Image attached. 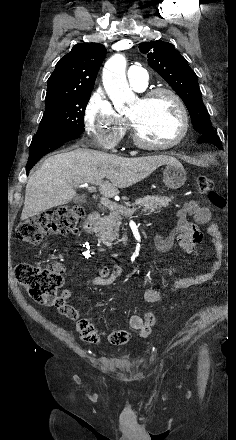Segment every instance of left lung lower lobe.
Wrapping results in <instances>:
<instances>
[{
	"label": "left lung lower lobe",
	"instance_id": "obj_1",
	"mask_svg": "<svg viewBox=\"0 0 236 440\" xmlns=\"http://www.w3.org/2000/svg\"><path fill=\"white\" fill-rule=\"evenodd\" d=\"M198 143H210L222 150L221 141L214 131L201 134Z\"/></svg>",
	"mask_w": 236,
	"mask_h": 440
}]
</instances>
